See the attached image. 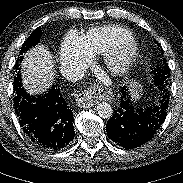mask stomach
I'll return each mask as SVG.
<instances>
[{"label": "stomach", "instance_id": "0dacf381", "mask_svg": "<svg viewBox=\"0 0 183 183\" xmlns=\"http://www.w3.org/2000/svg\"><path fill=\"white\" fill-rule=\"evenodd\" d=\"M129 94L133 100H139L143 95L142 86L135 80L131 81L129 85Z\"/></svg>", "mask_w": 183, "mask_h": 183}]
</instances>
